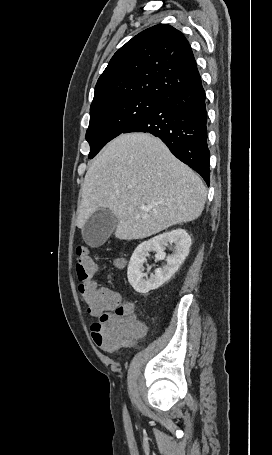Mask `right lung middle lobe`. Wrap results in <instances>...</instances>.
<instances>
[{
  "mask_svg": "<svg viewBox=\"0 0 272 455\" xmlns=\"http://www.w3.org/2000/svg\"><path fill=\"white\" fill-rule=\"evenodd\" d=\"M164 99L154 96H134L99 105L90 109V124L86 140L93 158L102 147L162 105Z\"/></svg>",
  "mask_w": 272,
  "mask_h": 455,
  "instance_id": "obj_1",
  "label": "right lung middle lobe"
}]
</instances>
